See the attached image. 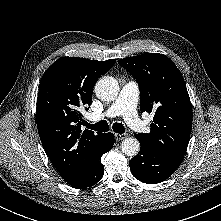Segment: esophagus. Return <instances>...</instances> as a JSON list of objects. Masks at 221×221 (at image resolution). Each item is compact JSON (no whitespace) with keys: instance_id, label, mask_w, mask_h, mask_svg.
<instances>
[{"instance_id":"obj_1","label":"esophagus","mask_w":221,"mask_h":221,"mask_svg":"<svg viewBox=\"0 0 221 221\" xmlns=\"http://www.w3.org/2000/svg\"><path fill=\"white\" fill-rule=\"evenodd\" d=\"M114 136H115L116 141H121V140H123L124 138L127 137L126 134H118V133H115Z\"/></svg>"}]
</instances>
